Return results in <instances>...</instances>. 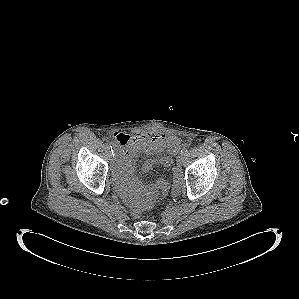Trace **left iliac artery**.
<instances>
[{"instance_id":"44dca946","label":"left iliac artery","mask_w":299,"mask_h":299,"mask_svg":"<svg viewBox=\"0 0 299 299\" xmlns=\"http://www.w3.org/2000/svg\"><path fill=\"white\" fill-rule=\"evenodd\" d=\"M187 151H188L187 148L184 147V148L181 150V153L185 155V154L187 153Z\"/></svg>"}]
</instances>
